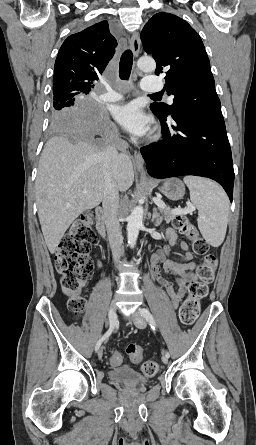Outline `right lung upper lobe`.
I'll use <instances>...</instances> for the list:
<instances>
[{
	"mask_svg": "<svg viewBox=\"0 0 256 445\" xmlns=\"http://www.w3.org/2000/svg\"><path fill=\"white\" fill-rule=\"evenodd\" d=\"M116 39L107 21L70 35L62 44L54 67L53 94L89 93L114 55Z\"/></svg>",
	"mask_w": 256,
	"mask_h": 445,
	"instance_id": "cb5924a9",
	"label": "right lung upper lobe"
}]
</instances>
